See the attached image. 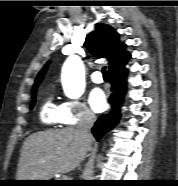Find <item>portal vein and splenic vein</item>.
Returning a JSON list of instances; mask_svg holds the SVG:
<instances>
[{"label":"portal vein and splenic vein","mask_w":178,"mask_h":186,"mask_svg":"<svg viewBox=\"0 0 178 186\" xmlns=\"http://www.w3.org/2000/svg\"><path fill=\"white\" fill-rule=\"evenodd\" d=\"M64 180H69L67 176H64Z\"/></svg>","instance_id":"obj_1"}]
</instances>
